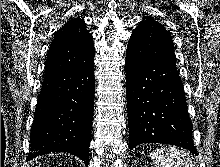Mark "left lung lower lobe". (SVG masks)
Returning a JSON list of instances; mask_svg holds the SVG:
<instances>
[{
  "label": "left lung lower lobe",
  "mask_w": 220,
  "mask_h": 167,
  "mask_svg": "<svg viewBox=\"0 0 220 167\" xmlns=\"http://www.w3.org/2000/svg\"><path fill=\"white\" fill-rule=\"evenodd\" d=\"M129 147L165 143L193 154L192 123L176 62L126 52Z\"/></svg>",
  "instance_id": "0a47b994"
}]
</instances>
